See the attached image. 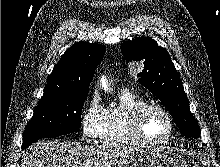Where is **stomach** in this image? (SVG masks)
Wrapping results in <instances>:
<instances>
[{"mask_svg":"<svg viewBox=\"0 0 220 167\" xmlns=\"http://www.w3.org/2000/svg\"><path fill=\"white\" fill-rule=\"evenodd\" d=\"M117 167H188L184 159L165 148H130Z\"/></svg>","mask_w":220,"mask_h":167,"instance_id":"obj_1","label":"stomach"}]
</instances>
